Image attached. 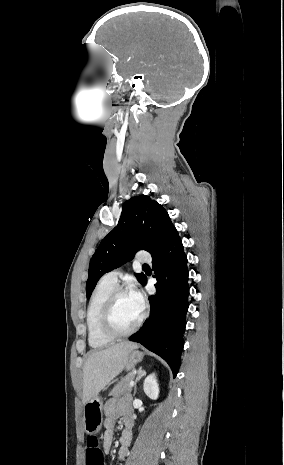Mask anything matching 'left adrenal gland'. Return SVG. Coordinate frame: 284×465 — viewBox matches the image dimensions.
<instances>
[{
    "mask_svg": "<svg viewBox=\"0 0 284 465\" xmlns=\"http://www.w3.org/2000/svg\"><path fill=\"white\" fill-rule=\"evenodd\" d=\"M145 375H146V371H142V367H140V369H139V371L137 373V377L135 379V383H134L133 397H135V395H136L138 381H140V379H142V377H145Z\"/></svg>",
    "mask_w": 284,
    "mask_h": 465,
    "instance_id": "obj_1",
    "label": "left adrenal gland"
}]
</instances>
